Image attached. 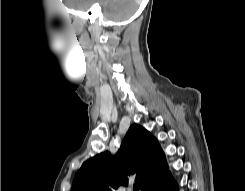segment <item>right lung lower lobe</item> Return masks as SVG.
I'll return each mask as SVG.
<instances>
[{"label":"right lung lower lobe","mask_w":245,"mask_h":191,"mask_svg":"<svg viewBox=\"0 0 245 191\" xmlns=\"http://www.w3.org/2000/svg\"><path fill=\"white\" fill-rule=\"evenodd\" d=\"M144 191H178V189L177 183L172 178L170 172L167 171Z\"/></svg>","instance_id":"right-lung-lower-lobe-1"}]
</instances>
